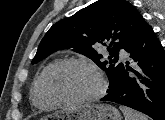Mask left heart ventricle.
Returning a JSON list of instances; mask_svg holds the SVG:
<instances>
[{
	"label": "left heart ventricle",
	"mask_w": 165,
	"mask_h": 120,
	"mask_svg": "<svg viewBox=\"0 0 165 120\" xmlns=\"http://www.w3.org/2000/svg\"><path fill=\"white\" fill-rule=\"evenodd\" d=\"M52 87L59 96L74 99L93 94L99 81L89 68L70 64L57 70L52 78Z\"/></svg>",
	"instance_id": "1"
}]
</instances>
